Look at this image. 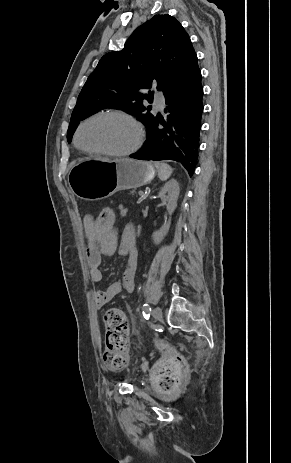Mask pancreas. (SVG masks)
Segmentation results:
<instances>
[{"label":"pancreas","instance_id":"pancreas-1","mask_svg":"<svg viewBox=\"0 0 291 463\" xmlns=\"http://www.w3.org/2000/svg\"><path fill=\"white\" fill-rule=\"evenodd\" d=\"M128 195L131 196V197H133V198H135V197H137V192H136V190H131V191L128 193Z\"/></svg>","mask_w":291,"mask_h":463}]
</instances>
